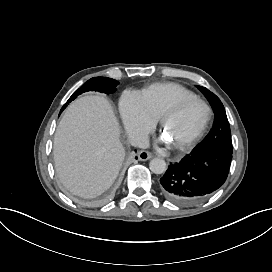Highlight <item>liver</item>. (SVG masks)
<instances>
[{"instance_id": "obj_1", "label": "liver", "mask_w": 272, "mask_h": 272, "mask_svg": "<svg viewBox=\"0 0 272 272\" xmlns=\"http://www.w3.org/2000/svg\"><path fill=\"white\" fill-rule=\"evenodd\" d=\"M106 97L88 95L65 110L54 136L56 174L73 195L95 198L111 187L125 157Z\"/></svg>"}]
</instances>
